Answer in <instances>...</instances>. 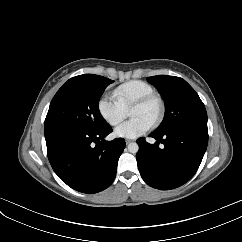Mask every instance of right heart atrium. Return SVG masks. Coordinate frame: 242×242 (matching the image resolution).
<instances>
[{"instance_id": "obj_1", "label": "right heart atrium", "mask_w": 242, "mask_h": 242, "mask_svg": "<svg viewBox=\"0 0 242 242\" xmlns=\"http://www.w3.org/2000/svg\"><path fill=\"white\" fill-rule=\"evenodd\" d=\"M98 111L102 118L112 126L120 123L126 116V109L112 95H105L99 100Z\"/></svg>"}]
</instances>
